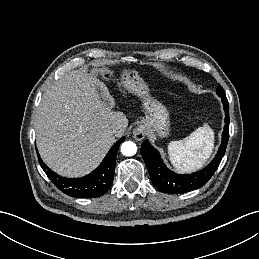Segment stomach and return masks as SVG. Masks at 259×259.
I'll return each mask as SVG.
<instances>
[{
    "instance_id": "stomach-1",
    "label": "stomach",
    "mask_w": 259,
    "mask_h": 259,
    "mask_svg": "<svg viewBox=\"0 0 259 259\" xmlns=\"http://www.w3.org/2000/svg\"><path fill=\"white\" fill-rule=\"evenodd\" d=\"M91 75L98 80L108 81L113 77V71L105 67H95ZM124 86L132 93L143 98L146 119L143 125L149 130L156 132L160 137H166L170 131L169 112L166 107L156 99L149 96V89L146 83L139 77L135 70H124L121 75Z\"/></svg>"
}]
</instances>
